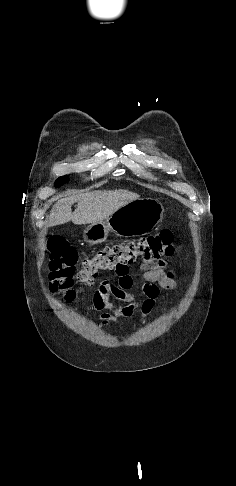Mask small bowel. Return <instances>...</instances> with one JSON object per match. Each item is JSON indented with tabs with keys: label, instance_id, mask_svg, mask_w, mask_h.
<instances>
[{
	"label": "small bowel",
	"instance_id": "obj_1",
	"mask_svg": "<svg viewBox=\"0 0 236 486\" xmlns=\"http://www.w3.org/2000/svg\"><path fill=\"white\" fill-rule=\"evenodd\" d=\"M165 265L161 260L145 261L141 265L144 279L142 292L146 297L142 301L130 292L134 286V278L129 272V266L115 271L116 282L101 281L93 295V308L97 311H106L100 315L103 322H115L120 317L133 318L137 314L141 315V322H145V318L157 304L160 288L170 290L175 287L173 275L165 271ZM110 297H115L127 305L117 307L110 301Z\"/></svg>",
	"mask_w": 236,
	"mask_h": 486
}]
</instances>
